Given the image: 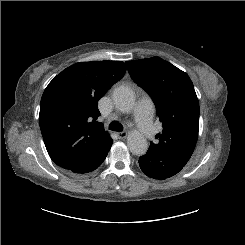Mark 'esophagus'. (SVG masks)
<instances>
[{"instance_id": "esophagus-1", "label": "esophagus", "mask_w": 245, "mask_h": 245, "mask_svg": "<svg viewBox=\"0 0 245 245\" xmlns=\"http://www.w3.org/2000/svg\"><path fill=\"white\" fill-rule=\"evenodd\" d=\"M117 135L120 139H124L127 137L128 134L127 132H118Z\"/></svg>"}]
</instances>
